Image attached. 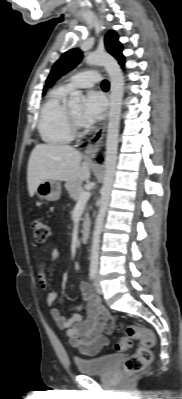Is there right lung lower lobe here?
Here are the masks:
<instances>
[{"label":"right lung lower lobe","instance_id":"98d812e1","mask_svg":"<svg viewBox=\"0 0 182 399\" xmlns=\"http://www.w3.org/2000/svg\"><path fill=\"white\" fill-rule=\"evenodd\" d=\"M101 160H102L101 158L98 159V161H101Z\"/></svg>","mask_w":182,"mask_h":399}]
</instances>
